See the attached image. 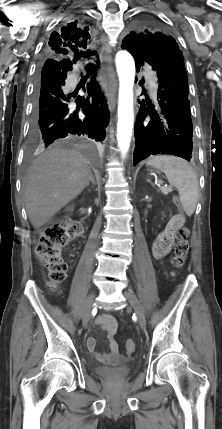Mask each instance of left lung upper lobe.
Returning a JSON list of instances; mask_svg holds the SVG:
<instances>
[{
	"label": "left lung upper lobe",
	"mask_w": 222,
	"mask_h": 429,
	"mask_svg": "<svg viewBox=\"0 0 222 429\" xmlns=\"http://www.w3.org/2000/svg\"><path fill=\"white\" fill-rule=\"evenodd\" d=\"M166 37L169 36L156 28L141 25L138 30L131 32L124 38L121 47L130 52L129 49L132 44L144 45V50L153 56L158 47L165 43Z\"/></svg>",
	"instance_id": "obj_1"
}]
</instances>
